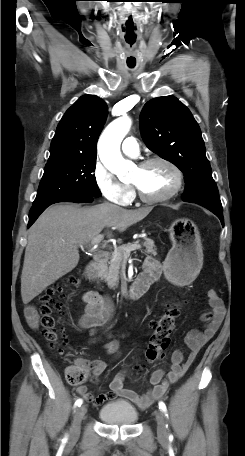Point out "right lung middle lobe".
I'll return each instance as SVG.
<instances>
[{"mask_svg": "<svg viewBox=\"0 0 245 456\" xmlns=\"http://www.w3.org/2000/svg\"><path fill=\"white\" fill-rule=\"evenodd\" d=\"M96 156L67 158L47 163L33 206L79 196L100 197L93 172Z\"/></svg>", "mask_w": 245, "mask_h": 456, "instance_id": "dd1d6c3e", "label": "right lung middle lobe"}]
</instances>
